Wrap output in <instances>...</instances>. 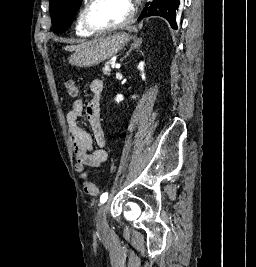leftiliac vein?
<instances>
[{
    "instance_id": "1",
    "label": "left iliac vein",
    "mask_w": 256,
    "mask_h": 267,
    "mask_svg": "<svg viewBox=\"0 0 256 267\" xmlns=\"http://www.w3.org/2000/svg\"><path fill=\"white\" fill-rule=\"evenodd\" d=\"M107 207L108 204L105 203L98 210L97 227L99 230H104L107 228V220H106Z\"/></svg>"
}]
</instances>
